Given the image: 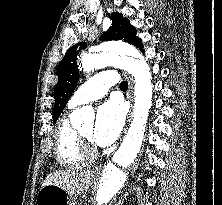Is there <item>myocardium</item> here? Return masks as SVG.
<instances>
[{
	"mask_svg": "<svg viewBox=\"0 0 222 205\" xmlns=\"http://www.w3.org/2000/svg\"><path fill=\"white\" fill-rule=\"evenodd\" d=\"M77 136L81 143L82 150L87 158H94L98 154V150L91 138L84 136L80 131H77Z\"/></svg>",
	"mask_w": 222,
	"mask_h": 205,
	"instance_id": "1",
	"label": "myocardium"
}]
</instances>
